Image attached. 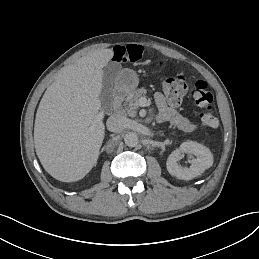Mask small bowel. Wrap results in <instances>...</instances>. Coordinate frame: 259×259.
I'll return each instance as SVG.
<instances>
[{
    "label": "small bowel",
    "instance_id": "c3829d8e",
    "mask_svg": "<svg viewBox=\"0 0 259 259\" xmlns=\"http://www.w3.org/2000/svg\"><path fill=\"white\" fill-rule=\"evenodd\" d=\"M143 52L144 48L139 44L116 45L112 49V59L116 63L136 62L141 59ZM155 102L159 111V121L169 122L185 132L195 129V124L178 113L162 93L155 94Z\"/></svg>",
    "mask_w": 259,
    "mask_h": 259
}]
</instances>
